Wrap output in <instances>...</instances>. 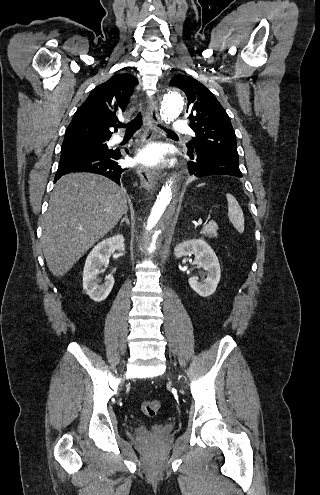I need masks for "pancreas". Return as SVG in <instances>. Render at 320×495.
Returning a JSON list of instances; mask_svg holds the SVG:
<instances>
[{"label": "pancreas", "instance_id": "pancreas-1", "mask_svg": "<svg viewBox=\"0 0 320 495\" xmlns=\"http://www.w3.org/2000/svg\"><path fill=\"white\" fill-rule=\"evenodd\" d=\"M218 225L214 221H210L205 225L201 231V234L208 236L209 238H214L217 236Z\"/></svg>", "mask_w": 320, "mask_h": 495}]
</instances>
